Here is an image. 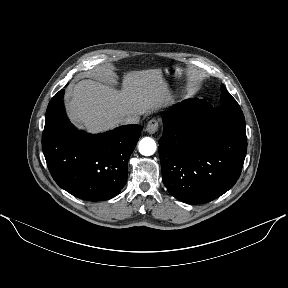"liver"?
I'll return each instance as SVG.
<instances>
[{
    "label": "liver",
    "instance_id": "liver-1",
    "mask_svg": "<svg viewBox=\"0 0 288 288\" xmlns=\"http://www.w3.org/2000/svg\"><path fill=\"white\" fill-rule=\"evenodd\" d=\"M168 84L158 69L125 73L122 89L93 80L79 81L67 98L71 118L91 133L113 129L128 116L169 105Z\"/></svg>",
    "mask_w": 288,
    "mask_h": 288
}]
</instances>
